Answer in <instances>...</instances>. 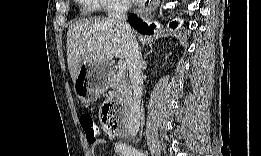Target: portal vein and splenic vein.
I'll use <instances>...</instances> for the list:
<instances>
[{"mask_svg": "<svg viewBox=\"0 0 261 156\" xmlns=\"http://www.w3.org/2000/svg\"><path fill=\"white\" fill-rule=\"evenodd\" d=\"M118 68L121 71L125 70L126 69V63L124 61H119L118 62Z\"/></svg>", "mask_w": 261, "mask_h": 156, "instance_id": "18ae733b", "label": "portal vein and splenic vein"}]
</instances>
